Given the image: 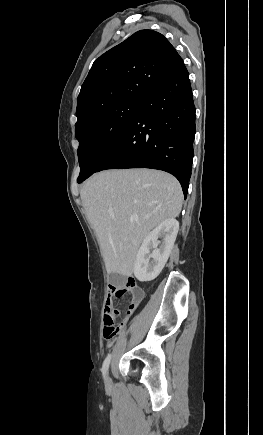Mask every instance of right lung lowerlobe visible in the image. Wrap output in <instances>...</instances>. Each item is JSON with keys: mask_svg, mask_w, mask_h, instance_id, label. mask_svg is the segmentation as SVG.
<instances>
[{"mask_svg": "<svg viewBox=\"0 0 263 435\" xmlns=\"http://www.w3.org/2000/svg\"><path fill=\"white\" fill-rule=\"evenodd\" d=\"M195 132V106L184 65L144 99L96 172L126 168L163 170L179 180L186 198Z\"/></svg>", "mask_w": 263, "mask_h": 435, "instance_id": "right-lung-lower-lobe-1", "label": "right lung lower lobe"}]
</instances>
